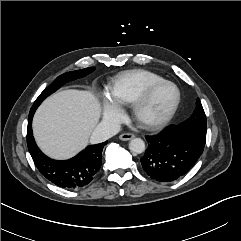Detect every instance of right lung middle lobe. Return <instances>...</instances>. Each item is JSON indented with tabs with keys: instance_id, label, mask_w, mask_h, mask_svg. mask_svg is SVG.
<instances>
[{
	"instance_id": "1",
	"label": "right lung middle lobe",
	"mask_w": 241,
	"mask_h": 241,
	"mask_svg": "<svg viewBox=\"0 0 241 241\" xmlns=\"http://www.w3.org/2000/svg\"><path fill=\"white\" fill-rule=\"evenodd\" d=\"M95 70V67H89V68H85L82 70H76V71H71V72H67L65 74H62L60 76H58L52 84H50L40 95L39 97L36 99V101L34 102L32 108H36L41 104V102L50 94H52L53 92H55L57 89H59L63 84H65L66 82L78 79V78H82L88 74H90L91 72H93Z\"/></svg>"
}]
</instances>
